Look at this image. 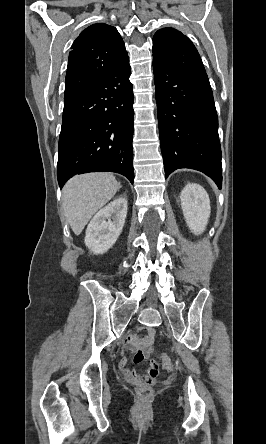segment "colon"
I'll use <instances>...</instances> for the list:
<instances>
[{
    "mask_svg": "<svg viewBox=\"0 0 266 444\" xmlns=\"http://www.w3.org/2000/svg\"><path fill=\"white\" fill-rule=\"evenodd\" d=\"M160 360H161L162 365L165 369L172 368V363H171V359L169 358V356L163 354L160 356ZM152 393H153V391H152L151 387L148 385H141L137 389V395L143 401L148 400L152 396Z\"/></svg>",
    "mask_w": 266,
    "mask_h": 444,
    "instance_id": "obj_1",
    "label": "colon"
}]
</instances>
